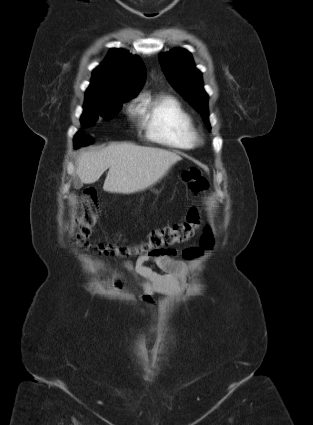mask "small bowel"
Segmentation results:
<instances>
[{"label":"small bowel","instance_id":"obj_1","mask_svg":"<svg viewBox=\"0 0 313 425\" xmlns=\"http://www.w3.org/2000/svg\"><path fill=\"white\" fill-rule=\"evenodd\" d=\"M173 251H165L157 255H140L135 263L125 262V267L139 280L142 289L140 297L149 306L154 305L155 294H165L176 289V276L184 275L182 263L172 258ZM154 262L163 273L156 272L147 266V262ZM124 280L118 278L117 287H122Z\"/></svg>","mask_w":313,"mask_h":425}]
</instances>
